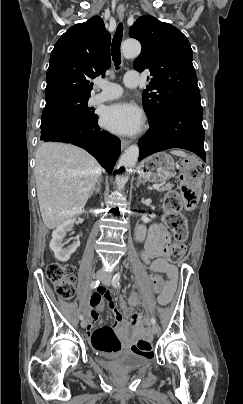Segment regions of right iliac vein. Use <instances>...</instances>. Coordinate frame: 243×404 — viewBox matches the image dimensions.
Masks as SVG:
<instances>
[{"mask_svg": "<svg viewBox=\"0 0 243 404\" xmlns=\"http://www.w3.org/2000/svg\"><path fill=\"white\" fill-rule=\"evenodd\" d=\"M105 275H104V273L103 272H97L96 274H95V279H97V280H100V279H102L103 277H104ZM81 327L82 328H85L86 327V320H82L81 321Z\"/></svg>", "mask_w": 243, "mask_h": 404, "instance_id": "1", "label": "right iliac vein"}]
</instances>
